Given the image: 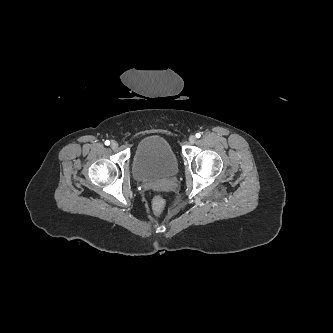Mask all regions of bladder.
I'll use <instances>...</instances> for the list:
<instances>
[{
    "label": "bladder",
    "instance_id": "bladder-1",
    "mask_svg": "<svg viewBox=\"0 0 333 333\" xmlns=\"http://www.w3.org/2000/svg\"><path fill=\"white\" fill-rule=\"evenodd\" d=\"M132 171L134 178L142 182L171 178L178 172V160L164 137L149 135L136 145Z\"/></svg>",
    "mask_w": 333,
    "mask_h": 333
}]
</instances>
